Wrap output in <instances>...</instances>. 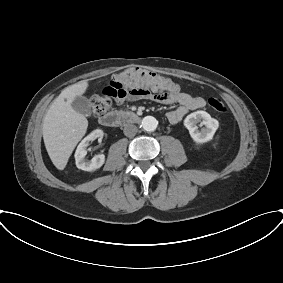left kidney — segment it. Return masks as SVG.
Segmentation results:
<instances>
[{"label":"left kidney","instance_id":"obj_1","mask_svg":"<svg viewBox=\"0 0 283 283\" xmlns=\"http://www.w3.org/2000/svg\"><path fill=\"white\" fill-rule=\"evenodd\" d=\"M199 122L205 126L200 131L196 125ZM184 126L189 130L190 136L195 143L203 144L213 139L219 127V122L205 111H196L185 118Z\"/></svg>","mask_w":283,"mask_h":283}]
</instances>
